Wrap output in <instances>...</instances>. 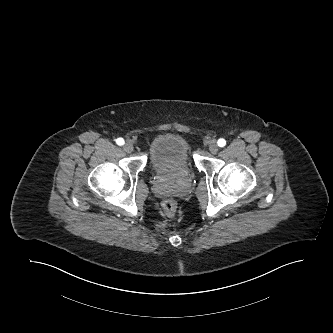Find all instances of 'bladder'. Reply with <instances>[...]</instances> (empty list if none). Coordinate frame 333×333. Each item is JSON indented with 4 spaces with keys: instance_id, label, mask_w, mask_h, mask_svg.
<instances>
[{
    "instance_id": "bladder-1",
    "label": "bladder",
    "mask_w": 333,
    "mask_h": 333,
    "mask_svg": "<svg viewBox=\"0 0 333 333\" xmlns=\"http://www.w3.org/2000/svg\"><path fill=\"white\" fill-rule=\"evenodd\" d=\"M149 162L156 174L187 173L193 165L188 142L172 133L155 137L149 150Z\"/></svg>"
}]
</instances>
